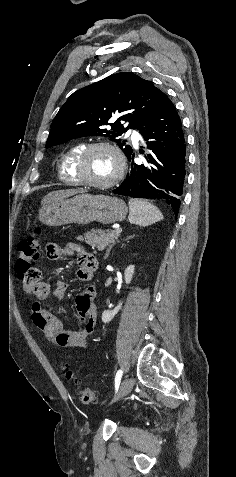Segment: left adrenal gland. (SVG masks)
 Returning <instances> with one entry per match:
<instances>
[{"label":"left adrenal gland","mask_w":236,"mask_h":477,"mask_svg":"<svg viewBox=\"0 0 236 477\" xmlns=\"http://www.w3.org/2000/svg\"><path fill=\"white\" fill-rule=\"evenodd\" d=\"M129 238H132V237H129ZM111 248H112V246L107 250V253H106L105 258H107V257L109 256V253H110Z\"/></svg>","instance_id":"obj_1"}]
</instances>
